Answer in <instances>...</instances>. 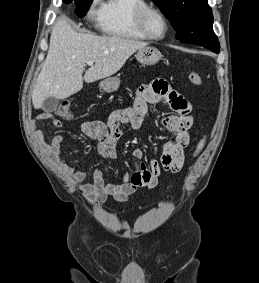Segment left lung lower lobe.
Segmentation results:
<instances>
[{
	"label": "left lung lower lobe",
	"instance_id": "0a47b994",
	"mask_svg": "<svg viewBox=\"0 0 259 283\" xmlns=\"http://www.w3.org/2000/svg\"><path fill=\"white\" fill-rule=\"evenodd\" d=\"M196 45H200V46H203L205 48H208L214 53H219V51H220V44H219L218 40L213 41V42L196 43Z\"/></svg>",
	"mask_w": 259,
	"mask_h": 283
}]
</instances>
